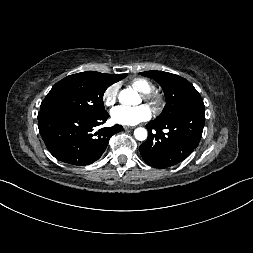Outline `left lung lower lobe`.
<instances>
[{"instance_id":"0a47b994","label":"left lung lower lobe","mask_w":253,"mask_h":253,"mask_svg":"<svg viewBox=\"0 0 253 253\" xmlns=\"http://www.w3.org/2000/svg\"><path fill=\"white\" fill-rule=\"evenodd\" d=\"M204 109L202 100L168 120L149 122L147 141L140 145L143 160L149 166L166 168L186 159L201 139Z\"/></svg>"}]
</instances>
